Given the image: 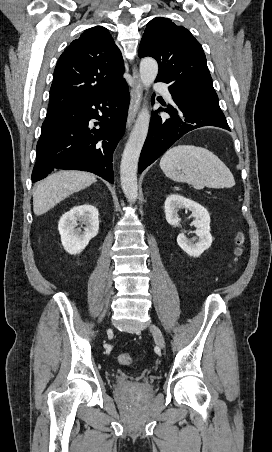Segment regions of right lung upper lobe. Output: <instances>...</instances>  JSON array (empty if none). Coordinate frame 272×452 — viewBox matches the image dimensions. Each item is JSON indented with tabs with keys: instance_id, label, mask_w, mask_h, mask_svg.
Wrapping results in <instances>:
<instances>
[{
	"instance_id": "obj_1",
	"label": "right lung upper lobe",
	"mask_w": 272,
	"mask_h": 452,
	"mask_svg": "<svg viewBox=\"0 0 272 452\" xmlns=\"http://www.w3.org/2000/svg\"><path fill=\"white\" fill-rule=\"evenodd\" d=\"M124 63L109 31H84L62 53L54 70L47 113L70 110L85 99L102 95L124 81Z\"/></svg>"
}]
</instances>
